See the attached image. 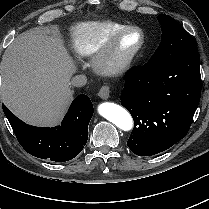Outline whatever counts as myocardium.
<instances>
[{
    "mask_svg": "<svg viewBox=\"0 0 209 209\" xmlns=\"http://www.w3.org/2000/svg\"><path fill=\"white\" fill-rule=\"evenodd\" d=\"M139 33L141 36L140 43L137 47L126 56L115 58L114 53L116 47L127 34ZM144 31L137 26H127L114 31L101 46L94 58L95 71L103 76H117L126 72L136 60L145 45Z\"/></svg>",
    "mask_w": 209,
    "mask_h": 209,
    "instance_id": "myocardium-1",
    "label": "myocardium"
}]
</instances>
